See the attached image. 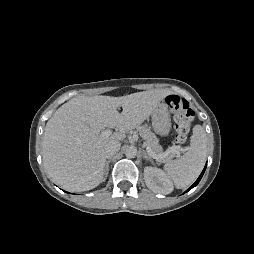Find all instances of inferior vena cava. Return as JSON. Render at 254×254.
<instances>
[{"instance_id":"obj_1","label":"inferior vena cava","mask_w":254,"mask_h":254,"mask_svg":"<svg viewBox=\"0 0 254 254\" xmlns=\"http://www.w3.org/2000/svg\"><path fill=\"white\" fill-rule=\"evenodd\" d=\"M120 143L119 141H110L104 150V154L106 158H111L120 150Z\"/></svg>"}]
</instances>
